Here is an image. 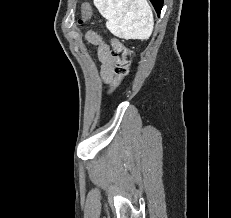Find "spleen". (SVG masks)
<instances>
[{
    "mask_svg": "<svg viewBox=\"0 0 231 218\" xmlns=\"http://www.w3.org/2000/svg\"><path fill=\"white\" fill-rule=\"evenodd\" d=\"M106 27L123 39H148L154 28L152 10L147 0H93Z\"/></svg>",
    "mask_w": 231,
    "mask_h": 218,
    "instance_id": "1",
    "label": "spleen"
}]
</instances>
